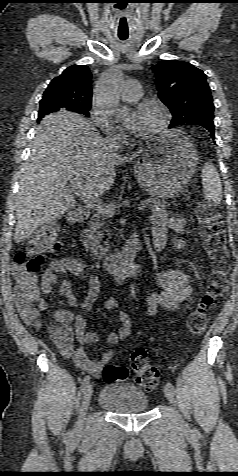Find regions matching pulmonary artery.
<instances>
[{
	"label": "pulmonary artery",
	"mask_w": 238,
	"mask_h": 476,
	"mask_svg": "<svg viewBox=\"0 0 238 476\" xmlns=\"http://www.w3.org/2000/svg\"><path fill=\"white\" fill-rule=\"evenodd\" d=\"M142 95L141 84L137 80H127L124 83L121 98L125 102L137 101Z\"/></svg>",
	"instance_id": "pulmonary-artery-1"
}]
</instances>
